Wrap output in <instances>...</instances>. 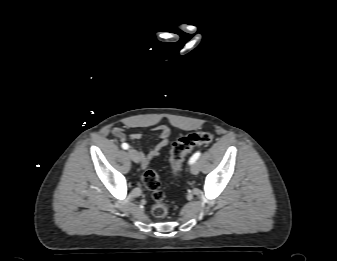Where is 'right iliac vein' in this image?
<instances>
[{
    "label": "right iliac vein",
    "instance_id": "obj_1",
    "mask_svg": "<svg viewBox=\"0 0 337 261\" xmlns=\"http://www.w3.org/2000/svg\"><path fill=\"white\" fill-rule=\"evenodd\" d=\"M128 154H129V157L131 158L132 161H134L135 163L140 162V155L136 150L129 149Z\"/></svg>",
    "mask_w": 337,
    "mask_h": 261
}]
</instances>
